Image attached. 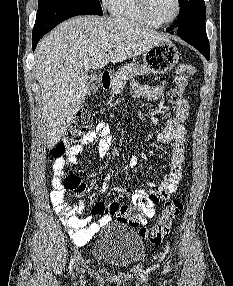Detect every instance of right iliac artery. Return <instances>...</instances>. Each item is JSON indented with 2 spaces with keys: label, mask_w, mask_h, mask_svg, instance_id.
I'll return each instance as SVG.
<instances>
[{
  "label": "right iliac artery",
  "mask_w": 233,
  "mask_h": 286,
  "mask_svg": "<svg viewBox=\"0 0 233 286\" xmlns=\"http://www.w3.org/2000/svg\"><path fill=\"white\" fill-rule=\"evenodd\" d=\"M74 262H75V257L73 256V257H71V261H70V265H69L70 272H71L72 269H73V264H74Z\"/></svg>",
  "instance_id": "1"
}]
</instances>
